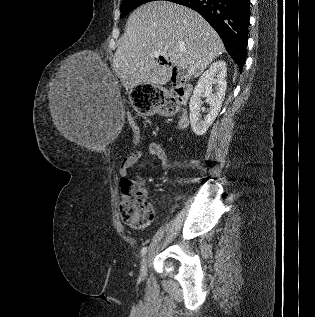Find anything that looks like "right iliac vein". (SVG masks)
<instances>
[{"label":"right iliac vein","instance_id":"obj_1","mask_svg":"<svg viewBox=\"0 0 315 317\" xmlns=\"http://www.w3.org/2000/svg\"><path fill=\"white\" fill-rule=\"evenodd\" d=\"M147 273V257H144L140 264L139 279L144 280Z\"/></svg>","mask_w":315,"mask_h":317}]
</instances>
